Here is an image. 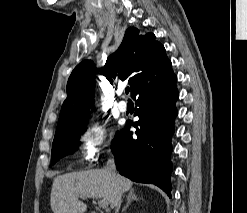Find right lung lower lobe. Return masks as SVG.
Instances as JSON below:
<instances>
[{
    "label": "right lung lower lobe",
    "instance_id": "1",
    "mask_svg": "<svg viewBox=\"0 0 247 213\" xmlns=\"http://www.w3.org/2000/svg\"><path fill=\"white\" fill-rule=\"evenodd\" d=\"M177 77L171 67L136 90L132 98L139 106L133 126L135 136L123 129L114 139L111 149L117 170L123 176L140 183L157 185L171 197L172 163L171 137L177 116ZM132 122L128 123L130 126Z\"/></svg>",
    "mask_w": 247,
    "mask_h": 213
}]
</instances>
